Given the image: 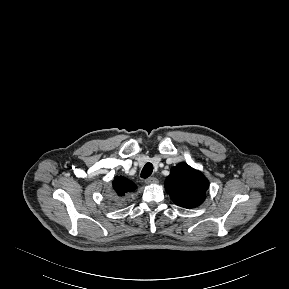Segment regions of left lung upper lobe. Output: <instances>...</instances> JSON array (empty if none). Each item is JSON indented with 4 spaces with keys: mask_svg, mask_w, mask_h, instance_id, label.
I'll return each mask as SVG.
<instances>
[{
    "mask_svg": "<svg viewBox=\"0 0 289 289\" xmlns=\"http://www.w3.org/2000/svg\"><path fill=\"white\" fill-rule=\"evenodd\" d=\"M208 180L188 164L179 163L166 178L165 189L175 204L194 208L203 203L208 189Z\"/></svg>",
    "mask_w": 289,
    "mask_h": 289,
    "instance_id": "obj_1",
    "label": "left lung upper lobe"
}]
</instances>
